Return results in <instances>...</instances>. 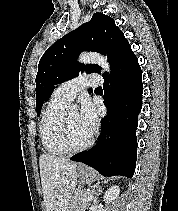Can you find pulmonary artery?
<instances>
[{"label":"pulmonary artery","instance_id":"e3ab8cb5","mask_svg":"<svg viewBox=\"0 0 178 211\" xmlns=\"http://www.w3.org/2000/svg\"><path fill=\"white\" fill-rule=\"evenodd\" d=\"M101 83L102 80L97 73L78 76L59 85L54 93L57 97L71 102L83 89L95 87Z\"/></svg>","mask_w":178,"mask_h":211}]
</instances>
